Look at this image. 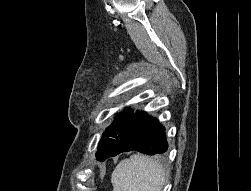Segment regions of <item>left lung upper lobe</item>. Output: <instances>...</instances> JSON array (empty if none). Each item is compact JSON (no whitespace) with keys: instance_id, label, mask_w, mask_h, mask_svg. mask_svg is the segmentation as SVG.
<instances>
[{"instance_id":"1","label":"left lung upper lobe","mask_w":251,"mask_h":191,"mask_svg":"<svg viewBox=\"0 0 251 191\" xmlns=\"http://www.w3.org/2000/svg\"><path fill=\"white\" fill-rule=\"evenodd\" d=\"M132 113L133 110L129 109H127L126 112L119 113L115 121H113V123L106 128L102 134V139L99 142L98 152H96V158L98 160L104 161L109 157L117 136L128 122Z\"/></svg>"}]
</instances>
